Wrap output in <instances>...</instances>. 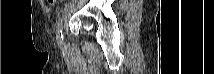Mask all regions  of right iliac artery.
<instances>
[{"mask_svg": "<svg viewBox=\"0 0 214 74\" xmlns=\"http://www.w3.org/2000/svg\"><path fill=\"white\" fill-rule=\"evenodd\" d=\"M56 39H57L58 45L63 48L64 47V43H63L62 19L61 18H59V20L57 22Z\"/></svg>", "mask_w": 214, "mask_h": 74, "instance_id": "right-iliac-artery-1", "label": "right iliac artery"}]
</instances>
